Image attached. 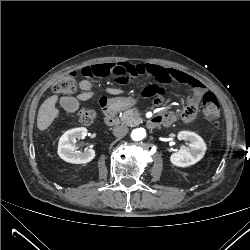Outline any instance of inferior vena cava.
Returning <instances> with one entry per match:
<instances>
[{"mask_svg":"<svg viewBox=\"0 0 250 250\" xmlns=\"http://www.w3.org/2000/svg\"><path fill=\"white\" fill-rule=\"evenodd\" d=\"M129 129L126 125H119L114 128L113 133L115 136L124 137L128 133Z\"/></svg>","mask_w":250,"mask_h":250,"instance_id":"obj_1","label":"inferior vena cava"}]
</instances>
